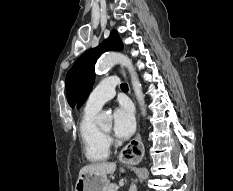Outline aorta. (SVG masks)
Segmentation results:
<instances>
[{
  "label": "aorta",
  "instance_id": "obj_1",
  "mask_svg": "<svg viewBox=\"0 0 233 191\" xmlns=\"http://www.w3.org/2000/svg\"><path fill=\"white\" fill-rule=\"evenodd\" d=\"M115 64H121L128 69L131 76L132 87L136 99L140 105L142 115L145 116L146 109H145L144 95L142 92L141 83L139 82V79L137 77L131 59H129L126 55L122 53L109 52L98 61L96 65V71L99 73L105 72L109 70L111 67H113ZM110 120H111V116L106 112H102L97 116V122L99 124H103L104 122H108Z\"/></svg>",
  "mask_w": 233,
  "mask_h": 191
}]
</instances>
